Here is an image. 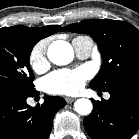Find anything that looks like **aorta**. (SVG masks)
<instances>
[{
	"label": "aorta",
	"instance_id": "aorta-1",
	"mask_svg": "<svg viewBox=\"0 0 139 139\" xmlns=\"http://www.w3.org/2000/svg\"><path fill=\"white\" fill-rule=\"evenodd\" d=\"M47 56L53 64L66 65L72 61L74 52L68 42L57 40L49 45ZM74 109L78 114L86 116L92 112L93 104L89 99H77L74 103Z\"/></svg>",
	"mask_w": 139,
	"mask_h": 139
}]
</instances>
